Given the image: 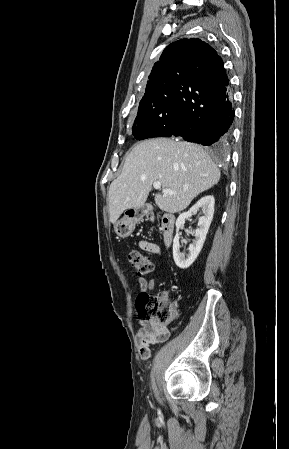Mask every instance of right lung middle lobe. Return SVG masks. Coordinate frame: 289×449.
<instances>
[{
	"mask_svg": "<svg viewBox=\"0 0 289 449\" xmlns=\"http://www.w3.org/2000/svg\"><path fill=\"white\" fill-rule=\"evenodd\" d=\"M175 91L144 96L140 101L138 114L133 125V135L137 140L151 138L159 129L170 124L177 116Z\"/></svg>",
	"mask_w": 289,
	"mask_h": 449,
	"instance_id": "obj_1",
	"label": "right lung middle lobe"
}]
</instances>
